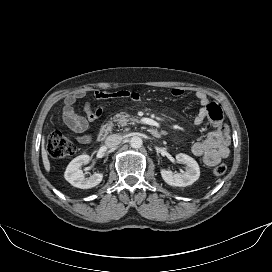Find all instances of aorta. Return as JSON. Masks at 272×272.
I'll list each match as a JSON object with an SVG mask.
<instances>
[{
	"mask_svg": "<svg viewBox=\"0 0 272 272\" xmlns=\"http://www.w3.org/2000/svg\"><path fill=\"white\" fill-rule=\"evenodd\" d=\"M142 144H143V141L139 136H133L130 139V146L132 148L138 149V148H140L142 146Z\"/></svg>",
	"mask_w": 272,
	"mask_h": 272,
	"instance_id": "aorta-1",
	"label": "aorta"
}]
</instances>
